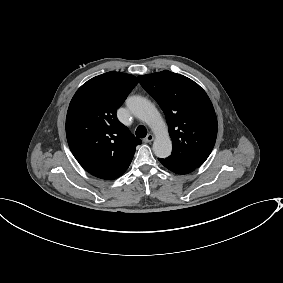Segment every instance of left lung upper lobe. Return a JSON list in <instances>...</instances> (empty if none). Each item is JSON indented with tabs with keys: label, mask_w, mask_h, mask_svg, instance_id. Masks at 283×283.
I'll return each instance as SVG.
<instances>
[{
	"label": "left lung upper lobe",
	"mask_w": 283,
	"mask_h": 283,
	"mask_svg": "<svg viewBox=\"0 0 283 283\" xmlns=\"http://www.w3.org/2000/svg\"><path fill=\"white\" fill-rule=\"evenodd\" d=\"M138 78L165 112L173 145L167 159L201 166L217 137V117L206 92L191 79L167 70Z\"/></svg>",
	"instance_id": "obj_1"
}]
</instances>
